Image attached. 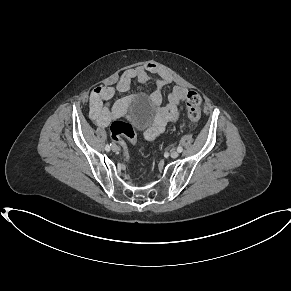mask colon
<instances>
[{"label": "colon", "mask_w": 291, "mask_h": 291, "mask_svg": "<svg viewBox=\"0 0 291 291\" xmlns=\"http://www.w3.org/2000/svg\"><path fill=\"white\" fill-rule=\"evenodd\" d=\"M201 96L195 92L190 91L187 94V116L191 121H197L200 118ZM111 134L113 139L121 146L123 156L127 158V149L122 137H125L130 144L136 143V133L134 127L124 121L116 120L111 124Z\"/></svg>", "instance_id": "colon-1"}]
</instances>
